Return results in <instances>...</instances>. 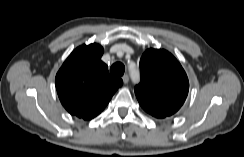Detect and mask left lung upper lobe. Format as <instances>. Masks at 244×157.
<instances>
[{
	"label": "left lung upper lobe",
	"mask_w": 244,
	"mask_h": 157,
	"mask_svg": "<svg viewBox=\"0 0 244 157\" xmlns=\"http://www.w3.org/2000/svg\"><path fill=\"white\" fill-rule=\"evenodd\" d=\"M140 84L135 87L141 107L156 118L176 113L189 91L187 75L168 51L147 49L140 59Z\"/></svg>",
	"instance_id": "1"
}]
</instances>
